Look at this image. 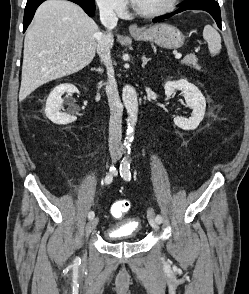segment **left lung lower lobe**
Returning a JSON list of instances; mask_svg holds the SVG:
<instances>
[{"label":"left lung lower lobe","mask_w":249,"mask_h":294,"mask_svg":"<svg viewBox=\"0 0 249 294\" xmlns=\"http://www.w3.org/2000/svg\"><path fill=\"white\" fill-rule=\"evenodd\" d=\"M185 10H204L212 15L215 19L218 27L222 29L221 26V15L219 4L214 0H187L182 2L181 7L173 13H170L165 16L157 17L153 19V22H158L163 19H167L174 14L180 13Z\"/></svg>","instance_id":"0a47b994"}]
</instances>
